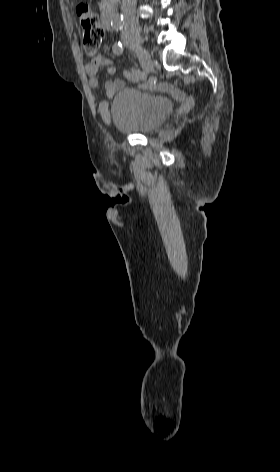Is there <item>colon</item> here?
I'll return each instance as SVG.
<instances>
[{"instance_id": "colon-1", "label": "colon", "mask_w": 280, "mask_h": 472, "mask_svg": "<svg viewBox=\"0 0 280 472\" xmlns=\"http://www.w3.org/2000/svg\"><path fill=\"white\" fill-rule=\"evenodd\" d=\"M76 13L82 28L83 48L89 55H93L98 50L105 35L97 14L87 3H80L76 8Z\"/></svg>"}]
</instances>
